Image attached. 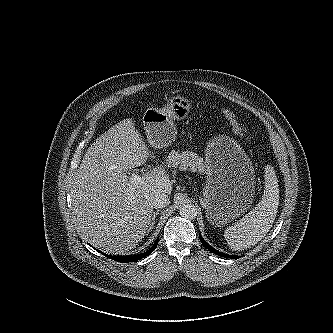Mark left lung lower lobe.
I'll return each instance as SVG.
<instances>
[{
	"label": "left lung lower lobe",
	"mask_w": 333,
	"mask_h": 333,
	"mask_svg": "<svg viewBox=\"0 0 333 333\" xmlns=\"http://www.w3.org/2000/svg\"><path fill=\"white\" fill-rule=\"evenodd\" d=\"M199 238H200V241H201V243L203 244V246L205 247V248H207L209 251H211V252H213V253H215V254H217V255H219V256H222V257H226V258H230V259H235V258H237V256H232V255H228V254H224V253H222V252H219V251H217L216 249H214L213 247H211L203 238H202V236H201V234H199Z\"/></svg>",
	"instance_id": "obj_1"
}]
</instances>
